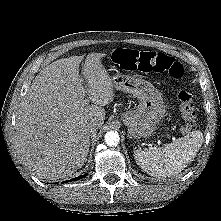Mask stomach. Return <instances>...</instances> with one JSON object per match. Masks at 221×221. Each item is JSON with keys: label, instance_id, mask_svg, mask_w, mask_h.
<instances>
[{"label": "stomach", "instance_id": "0dacf381", "mask_svg": "<svg viewBox=\"0 0 221 221\" xmlns=\"http://www.w3.org/2000/svg\"><path fill=\"white\" fill-rule=\"evenodd\" d=\"M111 79L116 90L129 93L139 101L135 110L122 114L129 137L140 139L150 136L166 113L161 93L141 77L116 74Z\"/></svg>", "mask_w": 221, "mask_h": 221}]
</instances>
